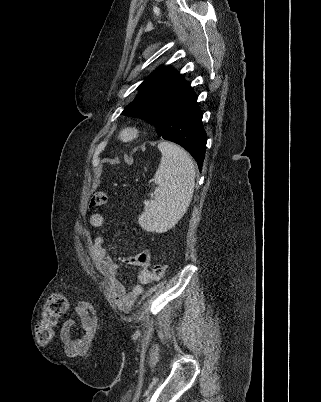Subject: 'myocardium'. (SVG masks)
I'll list each match as a JSON object with an SVG mask.
<instances>
[{
  "mask_svg": "<svg viewBox=\"0 0 321 402\" xmlns=\"http://www.w3.org/2000/svg\"><path fill=\"white\" fill-rule=\"evenodd\" d=\"M140 134V128L136 125H127L120 131V139L123 142H132L138 138Z\"/></svg>",
  "mask_w": 321,
  "mask_h": 402,
  "instance_id": "myocardium-1",
  "label": "myocardium"
}]
</instances>
